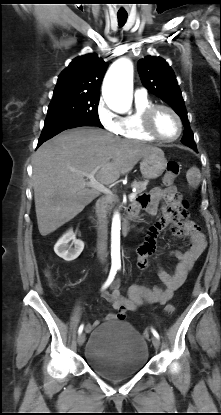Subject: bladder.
<instances>
[{
    "mask_svg": "<svg viewBox=\"0 0 221 415\" xmlns=\"http://www.w3.org/2000/svg\"><path fill=\"white\" fill-rule=\"evenodd\" d=\"M85 357L94 372L118 380L140 372L148 362L149 350L146 340L130 323L113 320L91 333Z\"/></svg>",
    "mask_w": 221,
    "mask_h": 415,
    "instance_id": "obj_1",
    "label": "bladder"
}]
</instances>
